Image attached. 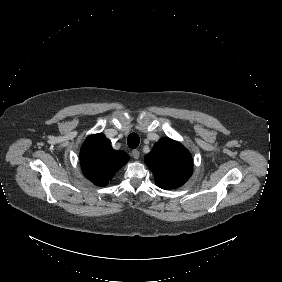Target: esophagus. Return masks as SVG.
<instances>
[{
  "label": "esophagus",
  "mask_w": 282,
  "mask_h": 282,
  "mask_svg": "<svg viewBox=\"0 0 282 282\" xmlns=\"http://www.w3.org/2000/svg\"><path fill=\"white\" fill-rule=\"evenodd\" d=\"M132 156H133L134 159L138 160L139 157H140L139 151L136 150V149H134V150L132 151Z\"/></svg>",
  "instance_id": "esophagus-1"
}]
</instances>
